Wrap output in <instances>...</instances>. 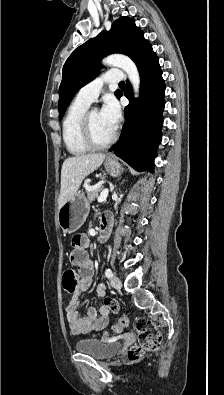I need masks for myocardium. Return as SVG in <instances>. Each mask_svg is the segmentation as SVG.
<instances>
[{
  "label": "myocardium",
  "instance_id": "obj_1",
  "mask_svg": "<svg viewBox=\"0 0 224 395\" xmlns=\"http://www.w3.org/2000/svg\"><path fill=\"white\" fill-rule=\"evenodd\" d=\"M96 109H88L81 121V135L84 143L88 146V148L93 150H101L109 147L117 138V132L114 131L113 135L105 142L99 143L97 142L92 134L91 129V114Z\"/></svg>",
  "mask_w": 224,
  "mask_h": 395
}]
</instances>
